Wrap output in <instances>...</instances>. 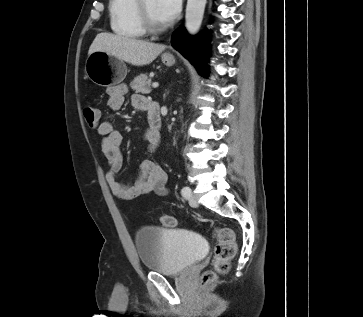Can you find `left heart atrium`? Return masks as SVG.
I'll return each mask as SVG.
<instances>
[{
  "instance_id": "39dd6f15",
  "label": "left heart atrium",
  "mask_w": 363,
  "mask_h": 317,
  "mask_svg": "<svg viewBox=\"0 0 363 317\" xmlns=\"http://www.w3.org/2000/svg\"><path fill=\"white\" fill-rule=\"evenodd\" d=\"M182 0H157V11L164 24L172 22L181 9Z\"/></svg>"
}]
</instances>
